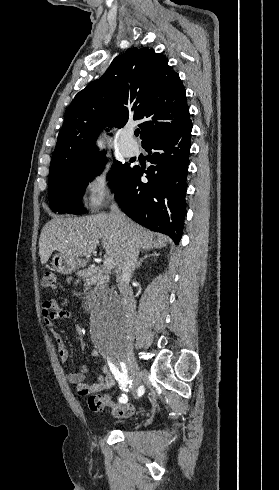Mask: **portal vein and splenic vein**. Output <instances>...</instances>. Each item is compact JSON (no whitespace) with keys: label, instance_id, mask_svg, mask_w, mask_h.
<instances>
[{"label":"portal vein and splenic vein","instance_id":"18ae733b","mask_svg":"<svg viewBox=\"0 0 279 490\" xmlns=\"http://www.w3.org/2000/svg\"><path fill=\"white\" fill-rule=\"evenodd\" d=\"M104 266H105V268H110V270H111V268H114L115 264L113 262V258H105Z\"/></svg>","mask_w":279,"mask_h":490}]
</instances>
